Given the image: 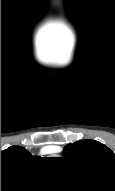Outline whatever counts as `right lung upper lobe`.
<instances>
[{
  "label": "right lung upper lobe",
  "instance_id": "obj_1",
  "mask_svg": "<svg viewBox=\"0 0 115 191\" xmlns=\"http://www.w3.org/2000/svg\"><path fill=\"white\" fill-rule=\"evenodd\" d=\"M30 153L21 146H11L1 152V161L21 160L28 157Z\"/></svg>",
  "mask_w": 115,
  "mask_h": 191
}]
</instances>
